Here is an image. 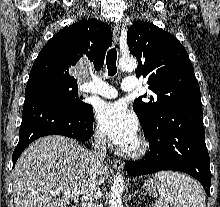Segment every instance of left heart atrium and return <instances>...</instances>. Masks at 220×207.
<instances>
[{
	"label": "left heart atrium",
	"mask_w": 220,
	"mask_h": 207,
	"mask_svg": "<svg viewBox=\"0 0 220 207\" xmlns=\"http://www.w3.org/2000/svg\"><path fill=\"white\" fill-rule=\"evenodd\" d=\"M100 130L121 148L137 138L138 121L122 102L101 104L96 111Z\"/></svg>",
	"instance_id": "1"
}]
</instances>
